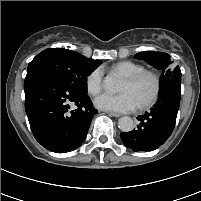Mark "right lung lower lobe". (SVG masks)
Wrapping results in <instances>:
<instances>
[{
  "instance_id": "1",
  "label": "right lung lower lobe",
  "mask_w": 201,
  "mask_h": 201,
  "mask_svg": "<svg viewBox=\"0 0 201 201\" xmlns=\"http://www.w3.org/2000/svg\"><path fill=\"white\" fill-rule=\"evenodd\" d=\"M25 110L35 139L56 153H66L84 141L97 110L86 94L47 70L27 73ZM70 105L76 109L70 111Z\"/></svg>"
}]
</instances>
